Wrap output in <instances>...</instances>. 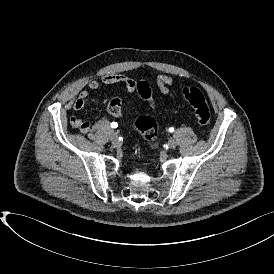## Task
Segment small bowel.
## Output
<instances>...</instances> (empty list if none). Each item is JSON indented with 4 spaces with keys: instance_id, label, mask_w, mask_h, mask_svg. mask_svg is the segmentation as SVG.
<instances>
[{
    "instance_id": "small-bowel-1",
    "label": "small bowel",
    "mask_w": 274,
    "mask_h": 274,
    "mask_svg": "<svg viewBox=\"0 0 274 274\" xmlns=\"http://www.w3.org/2000/svg\"><path fill=\"white\" fill-rule=\"evenodd\" d=\"M116 85L123 84L127 92H133L135 90L134 80L122 75V74H105L100 77V79H91L87 83V88L79 92L77 98L73 102V109L75 111H80L84 106L90 102L94 101L100 104H107L108 100L106 98H92L89 90L96 91L100 89L102 85ZM157 87L160 92L164 95H170L171 87L174 84V80L169 75H159L156 79ZM71 125L78 129L80 132L86 134L91 130V123L89 121L82 120L76 116L71 117Z\"/></svg>"
}]
</instances>
